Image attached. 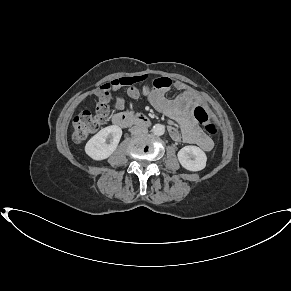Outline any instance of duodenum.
<instances>
[{
  "instance_id": "duodenum-1",
  "label": "duodenum",
  "mask_w": 291,
  "mask_h": 291,
  "mask_svg": "<svg viewBox=\"0 0 291 291\" xmlns=\"http://www.w3.org/2000/svg\"><path fill=\"white\" fill-rule=\"evenodd\" d=\"M114 125L121 128H128L130 126H143L147 127L150 125V120L146 115L143 114H130V113H117L112 117Z\"/></svg>"
}]
</instances>
